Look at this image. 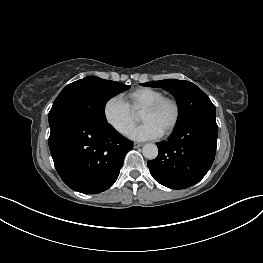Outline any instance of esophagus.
Segmentation results:
<instances>
[{"instance_id":"obj_1","label":"esophagus","mask_w":263,"mask_h":263,"mask_svg":"<svg viewBox=\"0 0 263 263\" xmlns=\"http://www.w3.org/2000/svg\"><path fill=\"white\" fill-rule=\"evenodd\" d=\"M142 145H143L142 143L135 142V143L133 144V147H134V148H139V147H141Z\"/></svg>"}]
</instances>
